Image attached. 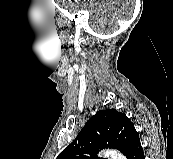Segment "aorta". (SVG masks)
I'll return each instance as SVG.
<instances>
[{"label": "aorta", "mask_w": 173, "mask_h": 159, "mask_svg": "<svg viewBox=\"0 0 173 159\" xmlns=\"http://www.w3.org/2000/svg\"><path fill=\"white\" fill-rule=\"evenodd\" d=\"M110 159H126L125 156L116 150H107L100 154Z\"/></svg>", "instance_id": "762f6f07"}]
</instances>
